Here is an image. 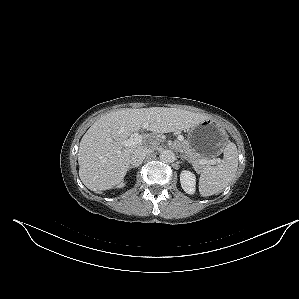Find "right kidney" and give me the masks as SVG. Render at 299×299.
Here are the masks:
<instances>
[{
  "mask_svg": "<svg viewBox=\"0 0 299 299\" xmlns=\"http://www.w3.org/2000/svg\"><path fill=\"white\" fill-rule=\"evenodd\" d=\"M124 185H125V184L122 182V183H120L117 187H118V188H122Z\"/></svg>",
  "mask_w": 299,
  "mask_h": 299,
  "instance_id": "obj_1",
  "label": "right kidney"
}]
</instances>
